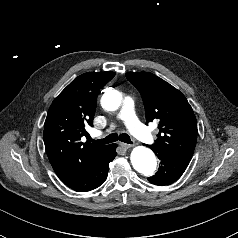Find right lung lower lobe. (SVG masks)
<instances>
[{"instance_id": "right-lung-lower-lobe-1", "label": "right lung lower lobe", "mask_w": 238, "mask_h": 238, "mask_svg": "<svg viewBox=\"0 0 238 238\" xmlns=\"http://www.w3.org/2000/svg\"><path fill=\"white\" fill-rule=\"evenodd\" d=\"M116 147V144L110 145V148L91 167L65 184L78 192L90 191L102 185L108 174V165L117 155Z\"/></svg>"}]
</instances>
